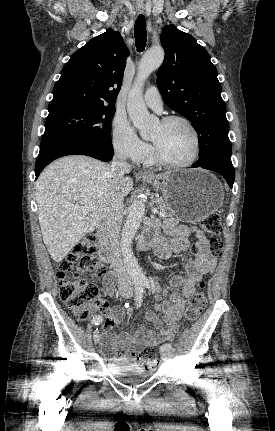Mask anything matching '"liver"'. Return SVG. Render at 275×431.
Wrapping results in <instances>:
<instances>
[{
  "mask_svg": "<svg viewBox=\"0 0 275 431\" xmlns=\"http://www.w3.org/2000/svg\"><path fill=\"white\" fill-rule=\"evenodd\" d=\"M133 188L130 177L114 179L111 168L84 155L63 157L50 164L36 182L38 219L51 258L61 262L100 224L113 192L123 197ZM76 207H89L84 214Z\"/></svg>",
  "mask_w": 275,
  "mask_h": 431,
  "instance_id": "6515ba94",
  "label": "liver"
}]
</instances>
